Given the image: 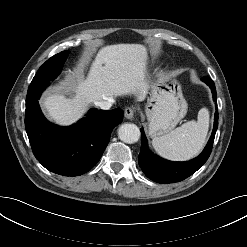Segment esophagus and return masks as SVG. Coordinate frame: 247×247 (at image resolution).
I'll return each instance as SVG.
<instances>
[{"mask_svg":"<svg viewBox=\"0 0 247 247\" xmlns=\"http://www.w3.org/2000/svg\"><path fill=\"white\" fill-rule=\"evenodd\" d=\"M135 109L132 107H127L124 111V116L126 119L131 120L134 117Z\"/></svg>","mask_w":247,"mask_h":247,"instance_id":"obj_1","label":"esophagus"}]
</instances>
